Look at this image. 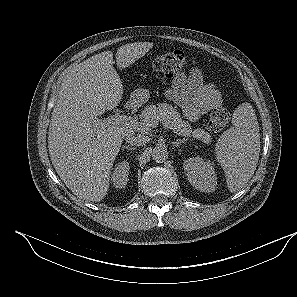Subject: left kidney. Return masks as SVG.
<instances>
[{
    "label": "left kidney",
    "mask_w": 297,
    "mask_h": 297,
    "mask_svg": "<svg viewBox=\"0 0 297 297\" xmlns=\"http://www.w3.org/2000/svg\"><path fill=\"white\" fill-rule=\"evenodd\" d=\"M183 167L187 179L195 189L205 193L215 191L217 177L211 161L193 157L185 160Z\"/></svg>",
    "instance_id": "1"
}]
</instances>
